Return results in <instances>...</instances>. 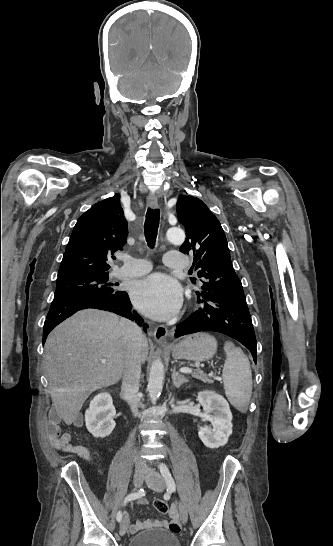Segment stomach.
Returning a JSON list of instances; mask_svg holds the SVG:
<instances>
[{"instance_id": "0dacf381", "label": "stomach", "mask_w": 333, "mask_h": 546, "mask_svg": "<svg viewBox=\"0 0 333 546\" xmlns=\"http://www.w3.org/2000/svg\"><path fill=\"white\" fill-rule=\"evenodd\" d=\"M216 349L217 340L213 336L207 333H196L172 345L171 352L175 359L202 362L211 359Z\"/></svg>"}]
</instances>
